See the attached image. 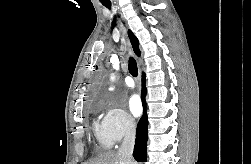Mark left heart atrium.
<instances>
[{"label":"left heart atrium","instance_id":"left-heart-atrium-1","mask_svg":"<svg viewBox=\"0 0 251 164\" xmlns=\"http://www.w3.org/2000/svg\"><path fill=\"white\" fill-rule=\"evenodd\" d=\"M128 107L130 112L134 116H139L142 112V104L139 96L137 94H133L128 99Z\"/></svg>","mask_w":251,"mask_h":164}]
</instances>
